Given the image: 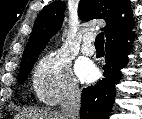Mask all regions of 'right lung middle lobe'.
<instances>
[{
	"label": "right lung middle lobe",
	"instance_id": "obj_1",
	"mask_svg": "<svg viewBox=\"0 0 142 119\" xmlns=\"http://www.w3.org/2000/svg\"><path fill=\"white\" fill-rule=\"evenodd\" d=\"M36 60L37 58H34L20 67L19 82L21 84L27 79V76L30 73L32 66Z\"/></svg>",
	"mask_w": 142,
	"mask_h": 119
}]
</instances>
